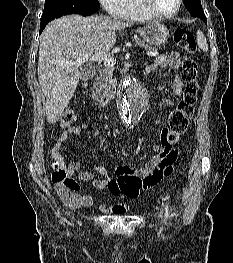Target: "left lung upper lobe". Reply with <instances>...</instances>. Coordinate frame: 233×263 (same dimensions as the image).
Returning a JSON list of instances; mask_svg holds the SVG:
<instances>
[{"label":"left lung upper lobe","instance_id":"1","mask_svg":"<svg viewBox=\"0 0 233 263\" xmlns=\"http://www.w3.org/2000/svg\"><path fill=\"white\" fill-rule=\"evenodd\" d=\"M187 9L194 16L203 19L205 14L203 12L200 0H184Z\"/></svg>","mask_w":233,"mask_h":263}]
</instances>
